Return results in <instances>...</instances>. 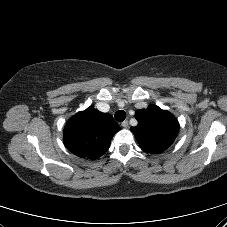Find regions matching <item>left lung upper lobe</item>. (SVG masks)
Here are the masks:
<instances>
[{"instance_id":"5c2ea615","label":"left lung upper lobe","mask_w":227,"mask_h":227,"mask_svg":"<svg viewBox=\"0 0 227 227\" xmlns=\"http://www.w3.org/2000/svg\"><path fill=\"white\" fill-rule=\"evenodd\" d=\"M135 116L138 125L130 130L143 151L159 154L172 145L179 131V123L170 112L150 105L147 109L137 110Z\"/></svg>"}]
</instances>
